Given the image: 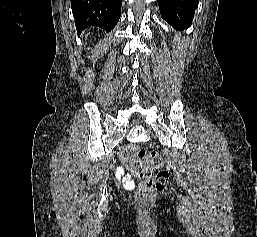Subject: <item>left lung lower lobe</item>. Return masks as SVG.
<instances>
[{
  "instance_id": "obj_1",
  "label": "left lung lower lobe",
  "mask_w": 257,
  "mask_h": 237,
  "mask_svg": "<svg viewBox=\"0 0 257 237\" xmlns=\"http://www.w3.org/2000/svg\"><path fill=\"white\" fill-rule=\"evenodd\" d=\"M199 0H158L161 16L175 29L192 25Z\"/></svg>"
}]
</instances>
